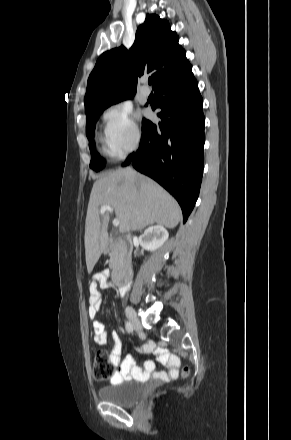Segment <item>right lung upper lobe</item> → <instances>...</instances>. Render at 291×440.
<instances>
[{"mask_svg": "<svg viewBox=\"0 0 291 440\" xmlns=\"http://www.w3.org/2000/svg\"><path fill=\"white\" fill-rule=\"evenodd\" d=\"M179 37L168 21L147 14L129 51L121 46L104 52L91 72L85 95L86 113L99 106L131 98L138 77L151 74L155 88L167 78L190 66Z\"/></svg>", "mask_w": 291, "mask_h": 440, "instance_id": "1", "label": "right lung upper lobe"}]
</instances>
